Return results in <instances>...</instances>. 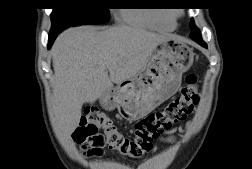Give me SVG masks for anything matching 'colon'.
Listing matches in <instances>:
<instances>
[{
  "label": "colon",
  "instance_id": "colon-1",
  "mask_svg": "<svg viewBox=\"0 0 252 169\" xmlns=\"http://www.w3.org/2000/svg\"><path fill=\"white\" fill-rule=\"evenodd\" d=\"M198 102L197 77L190 73L180 93L162 109L139 120L130 136L105 113L86 107L73 139L89 156H100L104 148H109L124 157L138 159L151 150L155 139L185 119Z\"/></svg>",
  "mask_w": 252,
  "mask_h": 169
}]
</instances>
